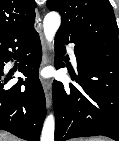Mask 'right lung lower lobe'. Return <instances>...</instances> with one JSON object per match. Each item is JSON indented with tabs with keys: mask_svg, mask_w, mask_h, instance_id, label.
<instances>
[{
	"mask_svg": "<svg viewBox=\"0 0 119 141\" xmlns=\"http://www.w3.org/2000/svg\"><path fill=\"white\" fill-rule=\"evenodd\" d=\"M17 55L18 71L27 79L25 82L19 79L12 87L5 88L11 76L4 75V65ZM41 59V42L34 26L0 45V129L28 141H39L46 116L44 91L38 77Z\"/></svg>",
	"mask_w": 119,
	"mask_h": 141,
	"instance_id": "98d812e1",
	"label": "right lung lower lobe"
}]
</instances>
